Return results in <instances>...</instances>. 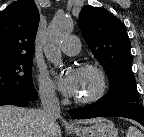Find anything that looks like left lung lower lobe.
Wrapping results in <instances>:
<instances>
[{
  "mask_svg": "<svg viewBox=\"0 0 144 137\" xmlns=\"http://www.w3.org/2000/svg\"><path fill=\"white\" fill-rule=\"evenodd\" d=\"M69 114L75 119L125 117L134 119L144 126V108L139 103L133 102L106 104L100 99L89 106L72 109Z\"/></svg>",
  "mask_w": 144,
  "mask_h": 137,
  "instance_id": "left-lung-lower-lobe-1",
  "label": "left lung lower lobe"
}]
</instances>
